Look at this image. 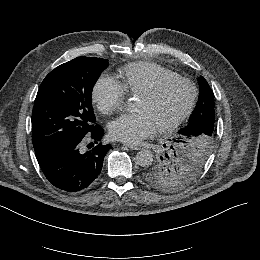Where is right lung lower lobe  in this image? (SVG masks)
Masks as SVG:
<instances>
[{
	"instance_id": "1",
	"label": "right lung lower lobe",
	"mask_w": 260,
	"mask_h": 260,
	"mask_svg": "<svg viewBox=\"0 0 260 260\" xmlns=\"http://www.w3.org/2000/svg\"><path fill=\"white\" fill-rule=\"evenodd\" d=\"M103 134L102 127L95 125L87 140L96 145L85 153L80 150L82 140L35 151L49 182L65 192H79L89 187L101 173L104 156L112 148L111 145L100 142ZM93 145L90 143L88 146L91 148Z\"/></svg>"
}]
</instances>
